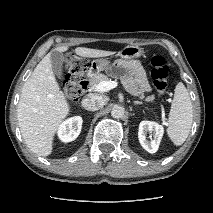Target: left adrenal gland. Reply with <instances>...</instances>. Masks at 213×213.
<instances>
[{"label": "left adrenal gland", "mask_w": 213, "mask_h": 213, "mask_svg": "<svg viewBox=\"0 0 213 213\" xmlns=\"http://www.w3.org/2000/svg\"><path fill=\"white\" fill-rule=\"evenodd\" d=\"M133 104H134V105H141V102H139V101H134Z\"/></svg>", "instance_id": "left-adrenal-gland-1"}]
</instances>
